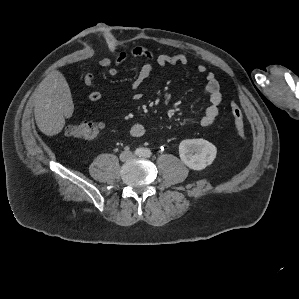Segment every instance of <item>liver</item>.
I'll return each mask as SVG.
<instances>
[{"label":"liver","instance_id":"6515ba94","mask_svg":"<svg viewBox=\"0 0 299 299\" xmlns=\"http://www.w3.org/2000/svg\"><path fill=\"white\" fill-rule=\"evenodd\" d=\"M71 91L64 75L54 70L39 84L35 99V120L38 128L47 136L59 134L65 126V118L73 114Z\"/></svg>","mask_w":299,"mask_h":299}]
</instances>
